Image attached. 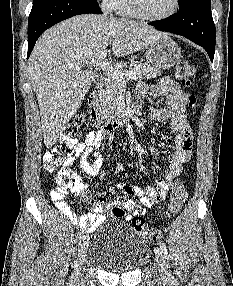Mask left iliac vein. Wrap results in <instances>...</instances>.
<instances>
[{
	"label": "left iliac vein",
	"instance_id": "obj_1",
	"mask_svg": "<svg viewBox=\"0 0 233 286\" xmlns=\"http://www.w3.org/2000/svg\"><path fill=\"white\" fill-rule=\"evenodd\" d=\"M156 261L162 279L167 280L170 276L169 267L166 261V257L160 247L155 249Z\"/></svg>",
	"mask_w": 233,
	"mask_h": 286
}]
</instances>
